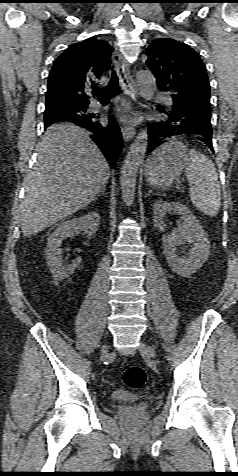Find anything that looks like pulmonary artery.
Returning <instances> with one entry per match:
<instances>
[{
	"instance_id": "e3ab8cb5",
	"label": "pulmonary artery",
	"mask_w": 238,
	"mask_h": 476,
	"mask_svg": "<svg viewBox=\"0 0 238 476\" xmlns=\"http://www.w3.org/2000/svg\"><path fill=\"white\" fill-rule=\"evenodd\" d=\"M158 99L165 103L166 105H172L173 101L170 97L168 96H158ZM100 109V106L97 103H94L91 105V110L92 111H98Z\"/></svg>"
}]
</instances>
